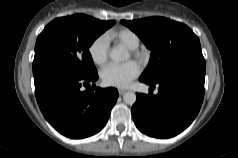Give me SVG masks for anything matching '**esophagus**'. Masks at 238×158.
Segmentation results:
<instances>
[{
    "label": "esophagus",
    "mask_w": 238,
    "mask_h": 158,
    "mask_svg": "<svg viewBox=\"0 0 238 158\" xmlns=\"http://www.w3.org/2000/svg\"><path fill=\"white\" fill-rule=\"evenodd\" d=\"M125 92H126V90H124V89H119L118 90L119 95H123Z\"/></svg>",
    "instance_id": "esophagus-1"
}]
</instances>
